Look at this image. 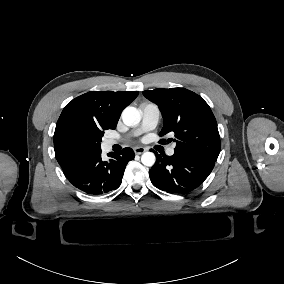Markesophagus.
<instances>
[{"label": "esophagus", "instance_id": "1", "mask_svg": "<svg viewBox=\"0 0 284 284\" xmlns=\"http://www.w3.org/2000/svg\"><path fill=\"white\" fill-rule=\"evenodd\" d=\"M133 150L137 155L143 154L146 151L144 147H134Z\"/></svg>", "mask_w": 284, "mask_h": 284}]
</instances>
